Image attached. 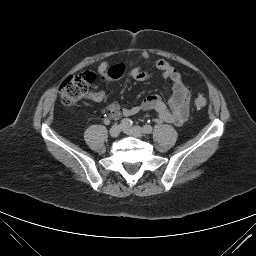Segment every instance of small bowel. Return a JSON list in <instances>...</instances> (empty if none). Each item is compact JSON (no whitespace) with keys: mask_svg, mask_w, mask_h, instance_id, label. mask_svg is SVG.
Returning <instances> with one entry per match:
<instances>
[{"mask_svg":"<svg viewBox=\"0 0 256 256\" xmlns=\"http://www.w3.org/2000/svg\"><path fill=\"white\" fill-rule=\"evenodd\" d=\"M144 60L150 58L148 51L141 52ZM153 67L161 76L172 84V96L167 105L157 94L145 97L139 104L132 107H121L115 102L108 104L106 110L108 118H117L119 116H132L141 111L152 110L156 113L161 122L172 123L176 126L183 125L190 113L191 90L184 81L181 73L173 67L168 61L159 59L154 62ZM101 79L107 84H111L123 76H128L136 81H145L152 77V74L139 67L127 69L122 63L110 65L102 62L98 67ZM105 97V91L101 90L90 95L93 101L100 102Z\"/></svg>","mask_w":256,"mask_h":256,"instance_id":"1","label":"small bowel"}]
</instances>
